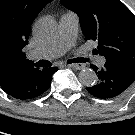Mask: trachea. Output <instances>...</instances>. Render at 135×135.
<instances>
[{
	"label": "trachea",
	"instance_id": "3493384b",
	"mask_svg": "<svg viewBox=\"0 0 135 135\" xmlns=\"http://www.w3.org/2000/svg\"><path fill=\"white\" fill-rule=\"evenodd\" d=\"M87 58H74L67 61V63H84L87 62ZM39 66L49 67L51 64L48 61H40Z\"/></svg>",
	"mask_w": 135,
	"mask_h": 135
}]
</instances>
